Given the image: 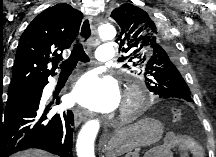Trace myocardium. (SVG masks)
I'll list each match as a JSON object with an SVG mask.
<instances>
[{
	"label": "myocardium",
	"mask_w": 216,
	"mask_h": 157,
	"mask_svg": "<svg viewBox=\"0 0 216 157\" xmlns=\"http://www.w3.org/2000/svg\"><path fill=\"white\" fill-rule=\"evenodd\" d=\"M144 105V97L138 89H132L125 95V100L122 105L121 116L124 119L134 117Z\"/></svg>",
	"instance_id": "myocardium-1"
}]
</instances>
